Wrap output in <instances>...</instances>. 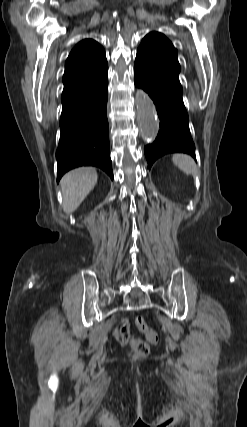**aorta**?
<instances>
[{"mask_svg": "<svg viewBox=\"0 0 247 427\" xmlns=\"http://www.w3.org/2000/svg\"><path fill=\"white\" fill-rule=\"evenodd\" d=\"M135 103L142 138L151 143L154 141L159 129L155 106L150 97L142 90L136 92Z\"/></svg>", "mask_w": 247, "mask_h": 427, "instance_id": "aorta-1", "label": "aorta"}]
</instances>
